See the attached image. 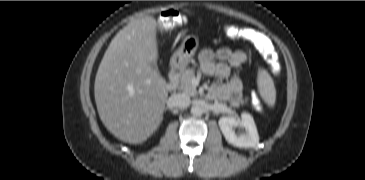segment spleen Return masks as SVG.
<instances>
[{"label": "spleen", "mask_w": 365, "mask_h": 180, "mask_svg": "<svg viewBox=\"0 0 365 180\" xmlns=\"http://www.w3.org/2000/svg\"><path fill=\"white\" fill-rule=\"evenodd\" d=\"M257 84L261 97L269 105L274 106L276 100V90L270 74L265 69H259Z\"/></svg>", "instance_id": "3e777b00"}]
</instances>
